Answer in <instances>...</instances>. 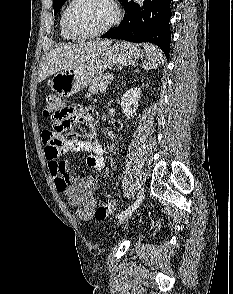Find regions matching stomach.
Listing matches in <instances>:
<instances>
[{
  "instance_id": "stomach-1",
  "label": "stomach",
  "mask_w": 233,
  "mask_h": 294,
  "mask_svg": "<svg viewBox=\"0 0 233 294\" xmlns=\"http://www.w3.org/2000/svg\"><path fill=\"white\" fill-rule=\"evenodd\" d=\"M142 56L143 53L137 45L117 42L101 55L56 73L50 86L58 96L68 98L86 88L105 69L113 66L131 65Z\"/></svg>"
}]
</instances>
